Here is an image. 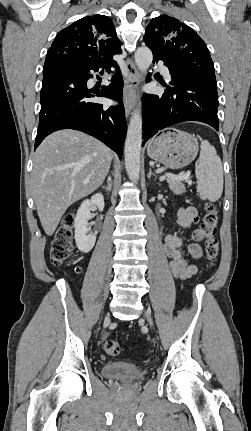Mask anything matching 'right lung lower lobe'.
<instances>
[{
  "label": "right lung lower lobe",
  "instance_id": "obj_1",
  "mask_svg": "<svg viewBox=\"0 0 251 431\" xmlns=\"http://www.w3.org/2000/svg\"><path fill=\"white\" fill-rule=\"evenodd\" d=\"M112 67L117 72L112 76L111 84L102 86L97 92L87 89L86 83L92 77L91 71L104 67L81 63L67 55L44 65L35 149L52 132L69 128L99 139L122 156L127 132L122 104L123 81L117 64ZM105 69L110 71V68ZM94 96L118 100L120 104L104 108L102 104L90 101Z\"/></svg>",
  "mask_w": 251,
  "mask_h": 431
}]
</instances>
